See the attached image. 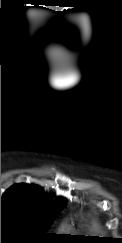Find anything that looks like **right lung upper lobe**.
<instances>
[{"mask_svg": "<svg viewBox=\"0 0 122 243\" xmlns=\"http://www.w3.org/2000/svg\"><path fill=\"white\" fill-rule=\"evenodd\" d=\"M2 199L22 201L40 208H57L65 204V200L61 198L52 201L40 187L24 183L13 185L3 194Z\"/></svg>", "mask_w": 122, "mask_h": 243, "instance_id": "obj_1", "label": "right lung upper lobe"}]
</instances>
